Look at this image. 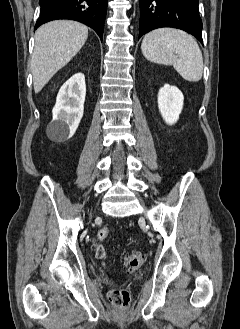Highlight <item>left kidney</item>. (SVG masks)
Returning <instances> with one entry per match:
<instances>
[{"label": "left kidney", "mask_w": 240, "mask_h": 329, "mask_svg": "<svg viewBox=\"0 0 240 329\" xmlns=\"http://www.w3.org/2000/svg\"><path fill=\"white\" fill-rule=\"evenodd\" d=\"M184 96L175 86L165 84L158 92V108L164 121L172 125L177 122L183 108Z\"/></svg>", "instance_id": "obj_1"}]
</instances>
